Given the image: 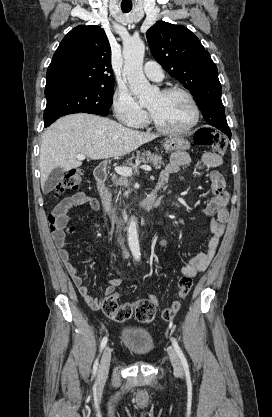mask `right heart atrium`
I'll use <instances>...</instances> for the list:
<instances>
[{"label":"right heart atrium","instance_id":"right-heart-atrium-1","mask_svg":"<svg viewBox=\"0 0 272 417\" xmlns=\"http://www.w3.org/2000/svg\"><path fill=\"white\" fill-rule=\"evenodd\" d=\"M112 105L116 118L125 125L139 126L146 118V112L126 87L120 86L115 90Z\"/></svg>","mask_w":272,"mask_h":417}]
</instances>
